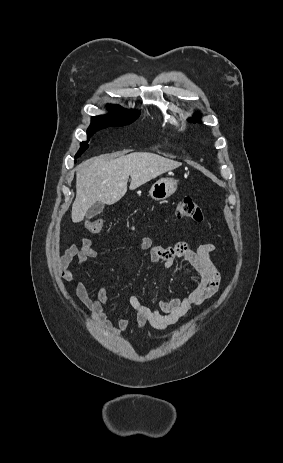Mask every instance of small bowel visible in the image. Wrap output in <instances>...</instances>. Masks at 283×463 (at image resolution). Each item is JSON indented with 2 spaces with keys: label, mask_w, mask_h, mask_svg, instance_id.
<instances>
[{
  "label": "small bowel",
  "mask_w": 283,
  "mask_h": 463,
  "mask_svg": "<svg viewBox=\"0 0 283 463\" xmlns=\"http://www.w3.org/2000/svg\"><path fill=\"white\" fill-rule=\"evenodd\" d=\"M139 247L141 250L149 252L150 261L153 264H162L168 268L173 265L176 259H182L198 274V280L193 282L192 288L185 295L159 301L157 308L150 307L136 296L130 297L127 307L137 314L139 329L146 325H150L156 330L170 328L183 319L194 307L213 298L218 292L221 275L211 260V254L215 250L213 244H202L197 249H193L187 242L162 247L155 245L149 237H143ZM97 256L98 252L92 247L89 239H83L80 248L76 245L69 246L59 259L61 277L66 282H71L73 268H87L90 260ZM76 295L99 323L116 333L127 330L129 323L125 318L120 317L116 326H113L104 315L103 308L110 304L104 286H101L95 297L92 298L86 283L79 281L76 286Z\"/></svg>",
  "instance_id": "1"
}]
</instances>
